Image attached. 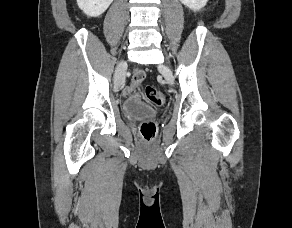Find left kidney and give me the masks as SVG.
Here are the masks:
<instances>
[{
	"mask_svg": "<svg viewBox=\"0 0 292 228\" xmlns=\"http://www.w3.org/2000/svg\"><path fill=\"white\" fill-rule=\"evenodd\" d=\"M180 1L182 2V4H184L193 11H199L208 2V0H180Z\"/></svg>",
	"mask_w": 292,
	"mask_h": 228,
	"instance_id": "obj_1",
	"label": "left kidney"
}]
</instances>
